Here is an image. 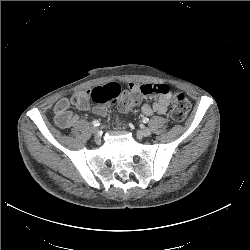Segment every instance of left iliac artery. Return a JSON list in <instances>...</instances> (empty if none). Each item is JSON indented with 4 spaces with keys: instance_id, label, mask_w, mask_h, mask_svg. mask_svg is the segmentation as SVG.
I'll list each match as a JSON object with an SVG mask.
<instances>
[{
    "instance_id": "44dca946",
    "label": "left iliac artery",
    "mask_w": 250,
    "mask_h": 250,
    "mask_svg": "<svg viewBox=\"0 0 250 250\" xmlns=\"http://www.w3.org/2000/svg\"><path fill=\"white\" fill-rule=\"evenodd\" d=\"M143 122H144V123H148V122H149V119L146 118V117H144V118H143Z\"/></svg>"
}]
</instances>
